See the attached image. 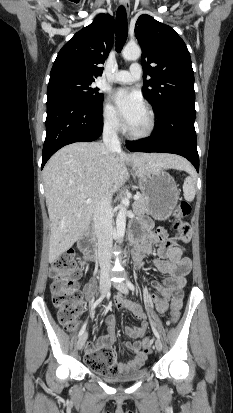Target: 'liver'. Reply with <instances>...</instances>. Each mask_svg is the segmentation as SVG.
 Listing matches in <instances>:
<instances>
[{
    "mask_svg": "<svg viewBox=\"0 0 233 413\" xmlns=\"http://www.w3.org/2000/svg\"><path fill=\"white\" fill-rule=\"evenodd\" d=\"M126 163L133 165L137 177L163 169H190L176 155L110 152L100 142H77L57 151L43 169L50 263L82 236L101 198L112 196L126 182Z\"/></svg>",
    "mask_w": 233,
    "mask_h": 413,
    "instance_id": "1",
    "label": "liver"
}]
</instances>
